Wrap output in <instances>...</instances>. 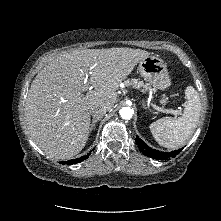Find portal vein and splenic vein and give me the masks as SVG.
<instances>
[{
  "instance_id": "1",
  "label": "portal vein and splenic vein",
  "mask_w": 221,
  "mask_h": 221,
  "mask_svg": "<svg viewBox=\"0 0 221 221\" xmlns=\"http://www.w3.org/2000/svg\"><path fill=\"white\" fill-rule=\"evenodd\" d=\"M91 72L90 71H85V80H84V84L86 85V88L85 90H87L88 88L90 89V87L88 86L87 84V81H88V74H90ZM140 92H142L143 94H145L144 90H140ZM153 108L155 110H158L160 112H164V113H171L173 115H177L179 113L178 110H173V109H164L163 107H159L157 105H153Z\"/></svg>"
}]
</instances>
